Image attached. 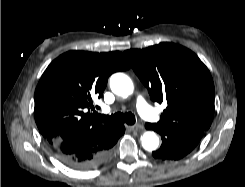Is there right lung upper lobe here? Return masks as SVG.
Masks as SVG:
<instances>
[{"mask_svg":"<svg viewBox=\"0 0 245 187\" xmlns=\"http://www.w3.org/2000/svg\"><path fill=\"white\" fill-rule=\"evenodd\" d=\"M127 69L119 51H69L55 59L35 90V121L48 144L54 146L88 130L111 126L90 112L93 98L102 97L112 73Z\"/></svg>","mask_w":245,"mask_h":187,"instance_id":"1","label":"right lung upper lobe"}]
</instances>
